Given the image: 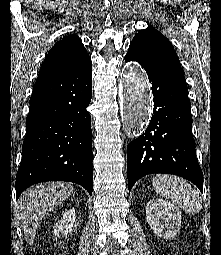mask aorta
I'll return each mask as SVG.
<instances>
[{"label":"aorta","instance_id":"obj_1","mask_svg":"<svg viewBox=\"0 0 221 255\" xmlns=\"http://www.w3.org/2000/svg\"><path fill=\"white\" fill-rule=\"evenodd\" d=\"M120 105L127 135L133 139L145 130L152 107L146 76L137 63H131L127 67L121 84Z\"/></svg>","mask_w":221,"mask_h":255}]
</instances>
